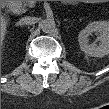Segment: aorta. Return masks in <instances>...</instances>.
<instances>
[{"label":"aorta","instance_id":"1","mask_svg":"<svg viewBox=\"0 0 109 109\" xmlns=\"http://www.w3.org/2000/svg\"><path fill=\"white\" fill-rule=\"evenodd\" d=\"M39 26L44 33H52L56 28V23L54 19L47 18L42 20Z\"/></svg>","mask_w":109,"mask_h":109}]
</instances>
